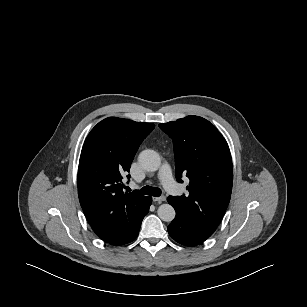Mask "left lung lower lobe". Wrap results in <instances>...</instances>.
<instances>
[{"mask_svg": "<svg viewBox=\"0 0 307 307\" xmlns=\"http://www.w3.org/2000/svg\"><path fill=\"white\" fill-rule=\"evenodd\" d=\"M167 200L172 205L171 201ZM175 210L176 217L168 226V232L176 242L186 246H195L204 242L212 235V233L192 223L178 209L175 208Z\"/></svg>", "mask_w": 307, "mask_h": 307, "instance_id": "obj_1", "label": "left lung lower lobe"}]
</instances>
